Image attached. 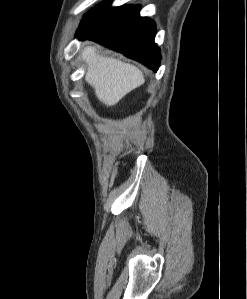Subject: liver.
Returning <instances> with one entry per match:
<instances>
[{
  "instance_id": "obj_1",
  "label": "liver",
  "mask_w": 247,
  "mask_h": 299,
  "mask_svg": "<svg viewBox=\"0 0 247 299\" xmlns=\"http://www.w3.org/2000/svg\"><path fill=\"white\" fill-rule=\"evenodd\" d=\"M81 57L87 65L86 82L94 88L96 97L106 106L115 105L144 83V75L139 68L102 55L96 47H85Z\"/></svg>"
}]
</instances>
